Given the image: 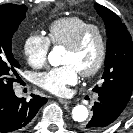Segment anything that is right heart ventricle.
Segmentation results:
<instances>
[{
    "label": "right heart ventricle",
    "instance_id": "obj_1",
    "mask_svg": "<svg viewBox=\"0 0 133 133\" xmlns=\"http://www.w3.org/2000/svg\"><path fill=\"white\" fill-rule=\"evenodd\" d=\"M87 24L79 16H68L55 20L48 28V39L54 46H67Z\"/></svg>",
    "mask_w": 133,
    "mask_h": 133
}]
</instances>
